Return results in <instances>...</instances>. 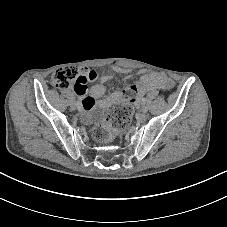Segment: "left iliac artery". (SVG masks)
Listing matches in <instances>:
<instances>
[{"label": "left iliac artery", "instance_id": "1", "mask_svg": "<svg viewBox=\"0 0 227 227\" xmlns=\"http://www.w3.org/2000/svg\"><path fill=\"white\" fill-rule=\"evenodd\" d=\"M141 102H142V104H145V103H146V98L143 97V98L141 99Z\"/></svg>", "mask_w": 227, "mask_h": 227}]
</instances>
